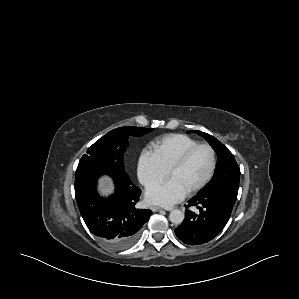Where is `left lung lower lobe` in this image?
<instances>
[{
  "instance_id": "left-lung-lower-lobe-1",
  "label": "left lung lower lobe",
  "mask_w": 299,
  "mask_h": 299,
  "mask_svg": "<svg viewBox=\"0 0 299 299\" xmlns=\"http://www.w3.org/2000/svg\"><path fill=\"white\" fill-rule=\"evenodd\" d=\"M236 199L224 191L198 193L188 207L197 206L199 213L187 209L183 223L175 229L176 236L189 245L209 242L228 222Z\"/></svg>"
}]
</instances>
